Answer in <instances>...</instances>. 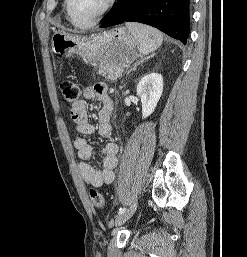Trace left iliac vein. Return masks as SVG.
<instances>
[{"label": "left iliac vein", "mask_w": 247, "mask_h": 257, "mask_svg": "<svg viewBox=\"0 0 247 257\" xmlns=\"http://www.w3.org/2000/svg\"><path fill=\"white\" fill-rule=\"evenodd\" d=\"M137 202H134L127 210L119 214L115 219V226L119 227L124 224L136 211Z\"/></svg>", "instance_id": "4c4485c4"}]
</instances>
